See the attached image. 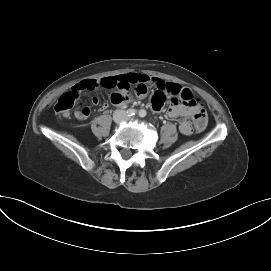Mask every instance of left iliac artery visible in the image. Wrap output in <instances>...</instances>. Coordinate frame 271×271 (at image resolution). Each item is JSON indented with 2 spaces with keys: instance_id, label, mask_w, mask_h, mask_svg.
Listing matches in <instances>:
<instances>
[{
  "instance_id": "obj_1",
  "label": "left iliac artery",
  "mask_w": 271,
  "mask_h": 271,
  "mask_svg": "<svg viewBox=\"0 0 271 271\" xmlns=\"http://www.w3.org/2000/svg\"><path fill=\"white\" fill-rule=\"evenodd\" d=\"M138 115H139L140 117L143 118V117H145V116L147 115V112H146V110L141 109V110L139 111Z\"/></svg>"
}]
</instances>
